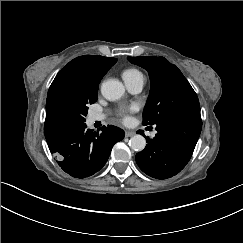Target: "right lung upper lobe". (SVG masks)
Masks as SVG:
<instances>
[{
	"mask_svg": "<svg viewBox=\"0 0 243 243\" xmlns=\"http://www.w3.org/2000/svg\"><path fill=\"white\" fill-rule=\"evenodd\" d=\"M116 61L117 59L112 57L85 55L73 59L64 66L48 91L44 132L56 128L51 120L50 107L58 93L71 87L98 88L99 82Z\"/></svg>",
	"mask_w": 243,
	"mask_h": 243,
	"instance_id": "right-lung-upper-lobe-1",
	"label": "right lung upper lobe"
}]
</instances>
